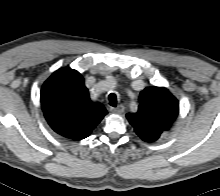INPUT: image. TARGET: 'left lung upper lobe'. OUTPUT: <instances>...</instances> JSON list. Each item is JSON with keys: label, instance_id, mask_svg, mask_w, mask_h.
Segmentation results:
<instances>
[{"label": "left lung upper lobe", "instance_id": "obj_1", "mask_svg": "<svg viewBox=\"0 0 220 196\" xmlns=\"http://www.w3.org/2000/svg\"><path fill=\"white\" fill-rule=\"evenodd\" d=\"M139 102L138 111L126 117L143 141L154 142L176 120L178 100L166 88L147 87L140 93Z\"/></svg>", "mask_w": 220, "mask_h": 196}]
</instances>
